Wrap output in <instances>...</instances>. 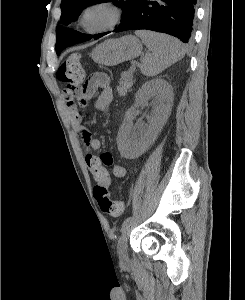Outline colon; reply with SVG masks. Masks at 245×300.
<instances>
[{"label": "colon", "mask_w": 245, "mask_h": 300, "mask_svg": "<svg viewBox=\"0 0 245 300\" xmlns=\"http://www.w3.org/2000/svg\"><path fill=\"white\" fill-rule=\"evenodd\" d=\"M57 78L66 85L63 95L71 101L80 92L81 84L85 78L84 69L77 54H71L60 65L57 70ZM94 197L101 210L112 216H119L123 213L124 204L121 201L110 200L108 190L94 188Z\"/></svg>", "instance_id": "1"}]
</instances>
